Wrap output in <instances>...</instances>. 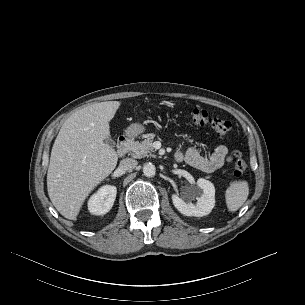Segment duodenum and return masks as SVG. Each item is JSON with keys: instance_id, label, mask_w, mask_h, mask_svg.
<instances>
[{"instance_id": "obj_1", "label": "duodenum", "mask_w": 305, "mask_h": 305, "mask_svg": "<svg viewBox=\"0 0 305 305\" xmlns=\"http://www.w3.org/2000/svg\"><path fill=\"white\" fill-rule=\"evenodd\" d=\"M132 139L130 137H121L117 144L118 155H124L128 152L131 146Z\"/></svg>"}]
</instances>
